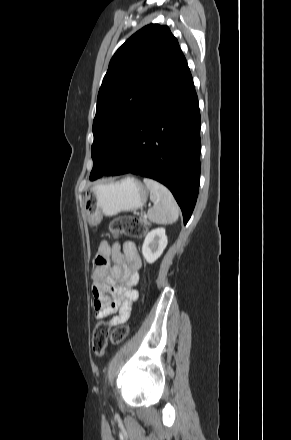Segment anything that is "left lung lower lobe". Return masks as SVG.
I'll use <instances>...</instances> for the list:
<instances>
[{"label":"left lung lower lobe","mask_w":291,"mask_h":440,"mask_svg":"<svg viewBox=\"0 0 291 440\" xmlns=\"http://www.w3.org/2000/svg\"><path fill=\"white\" fill-rule=\"evenodd\" d=\"M126 173L164 184L178 202L184 224L188 222L200 181V111L185 58L147 105L103 175Z\"/></svg>","instance_id":"left-lung-lower-lobe-1"}]
</instances>
